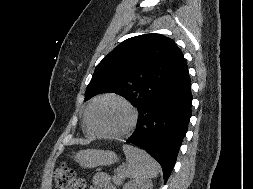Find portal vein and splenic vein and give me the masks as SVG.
I'll return each mask as SVG.
<instances>
[{
  "instance_id": "1",
  "label": "portal vein and splenic vein",
  "mask_w": 253,
  "mask_h": 189,
  "mask_svg": "<svg viewBox=\"0 0 253 189\" xmlns=\"http://www.w3.org/2000/svg\"><path fill=\"white\" fill-rule=\"evenodd\" d=\"M121 170H122V167L118 168V170H117V171H118V172H121Z\"/></svg>"
}]
</instances>
